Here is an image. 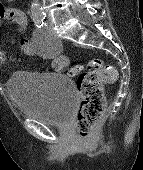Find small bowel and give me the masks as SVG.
<instances>
[{
    "label": "small bowel",
    "instance_id": "c3829d8e",
    "mask_svg": "<svg viewBox=\"0 0 143 170\" xmlns=\"http://www.w3.org/2000/svg\"><path fill=\"white\" fill-rule=\"evenodd\" d=\"M2 23L14 24L21 30H24L27 25V17L22 9L16 7H8L0 3V26ZM53 45L59 46L58 43H54ZM20 47L22 51L27 55H35L37 53L34 44L28 38H21ZM60 57L63 56H54L52 58V67L56 70H60L62 67V64L59 61ZM5 61V53L0 48V65H4Z\"/></svg>",
    "mask_w": 143,
    "mask_h": 170
}]
</instances>
